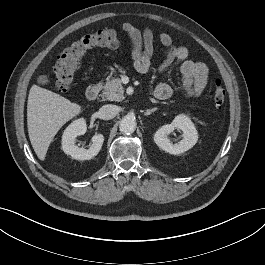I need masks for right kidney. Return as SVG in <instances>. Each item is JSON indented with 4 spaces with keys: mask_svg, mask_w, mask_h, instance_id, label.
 <instances>
[{
    "mask_svg": "<svg viewBox=\"0 0 265 265\" xmlns=\"http://www.w3.org/2000/svg\"><path fill=\"white\" fill-rule=\"evenodd\" d=\"M86 122L83 118L73 121L64 131L62 136V150L77 160H89L96 156L103 144L104 136L96 134L92 137V145L89 149L75 145L76 137L85 134Z\"/></svg>",
    "mask_w": 265,
    "mask_h": 265,
    "instance_id": "ca27d5eb",
    "label": "right kidney"
}]
</instances>
